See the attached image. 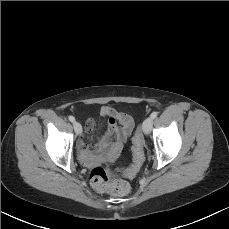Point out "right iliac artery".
<instances>
[{"instance_id":"right-iliac-artery-1","label":"right iliac artery","mask_w":229,"mask_h":229,"mask_svg":"<svg viewBox=\"0 0 229 229\" xmlns=\"http://www.w3.org/2000/svg\"><path fill=\"white\" fill-rule=\"evenodd\" d=\"M68 119L71 121V122H74L75 121V118L73 116H69Z\"/></svg>"}]
</instances>
